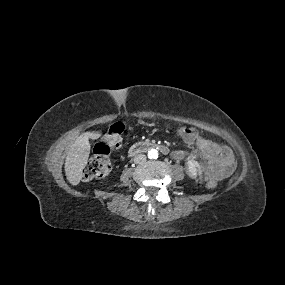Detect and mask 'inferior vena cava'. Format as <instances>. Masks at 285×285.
Here are the masks:
<instances>
[{
  "mask_svg": "<svg viewBox=\"0 0 285 285\" xmlns=\"http://www.w3.org/2000/svg\"><path fill=\"white\" fill-rule=\"evenodd\" d=\"M146 161V155L144 154H138L134 157V162L136 164H142Z\"/></svg>",
  "mask_w": 285,
  "mask_h": 285,
  "instance_id": "1",
  "label": "inferior vena cava"
}]
</instances>
